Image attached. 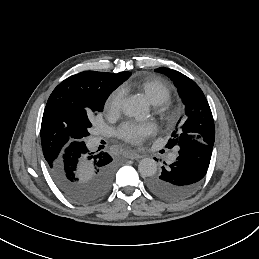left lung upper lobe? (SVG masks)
<instances>
[{"instance_id": "5c2ea615", "label": "left lung upper lobe", "mask_w": 259, "mask_h": 259, "mask_svg": "<svg viewBox=\"0 0 259 259\" xmlns=\"http://www.w3.org/2000/svg\"><path fill=\"white\" fill-rule=\"evenodd\" d=\"M166 74L173 80L180 98L185 105L186 121L176 130L166 145L167 148H179L197 140L208 145H214L215 127L211 109L200 87L182 73L160 67L155 70ZM180 122V120H179Z\"/></svg>"}]
</instances>
